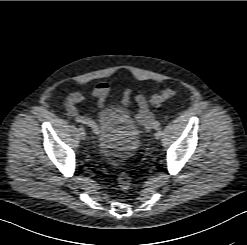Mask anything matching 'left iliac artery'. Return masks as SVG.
Returning a JSON list of instances; mask_svg holds the SVG:
<instances>
[{"instance_id":"44dca946","label":"left iliac artery","mask_w":247,"mask_h":245,"mask_svg":"<svg viewBox=\"0 0 247 245\" xmlns=\"http://www.w3.org/2000/svg\"><path fill=\"white\" fill-rule=\"evenodd\" d=\"M153 126L156 129H161V124L159 122H157V121L153 123Z\"/></svg>"}]
</instances>
